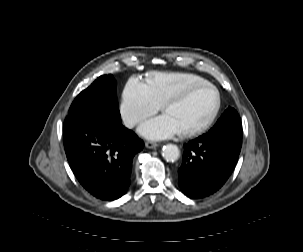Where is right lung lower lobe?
Here are the masks:
<instances>
[{
	"label": "right lung lower lobe",
	"mask_w": 303,
	"mask_h": 252,
	"mask_svg": "<svg viewBox=\"0 0 303 252\" xmlns=\"http://www.w3.org/2000/svg\"><path fill=\"white\" fill-rule=\"evenodd\" d=\"M69 165L82 186L102 200H115L130 185L132 160L144 143L106 110L67 116L63 125Z\"/></svg>",
	"instance_id": "1"
}]
</instances>
